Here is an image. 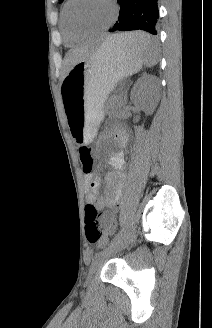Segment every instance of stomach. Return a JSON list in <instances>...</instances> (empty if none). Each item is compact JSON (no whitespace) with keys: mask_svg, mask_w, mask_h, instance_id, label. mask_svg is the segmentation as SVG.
<instances>
[{"mask_svg":"<svg viewBox=\"0 0 212 328\" xmlns=\"http://www.w3.org/2000/svg\"><path fill=\"white\" fill-rule=\"evenodd\" d=\"M144 57V51L121 47L111 36L93 55L69 70L61 92L68 125L77 143L92 141L109 94L119 81L141 69Z\"/></svg>","mask_w":212,"mask_h":328,"instance_id":"1","label":"stomach"}]
</instances>
